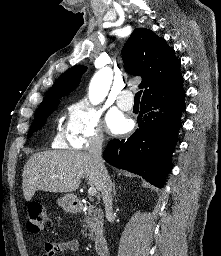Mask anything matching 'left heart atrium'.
Here are the masks:
<instances>
[{"label": "left heart atrium", "mask_w": 221, "mask_h": 256, "mask_svg": "<svg viewBox=\"0 0 221 256\" xmlns=\"http://www.w3.org/2000/svg\"><path fill=\"white\" fill-rule=\"evenodd\" d=\"M108 130L113 134L123 133L128 129V120L117 111H110L106 117Z\"/></svg>", "instance_id": "1"}]
</instances>
